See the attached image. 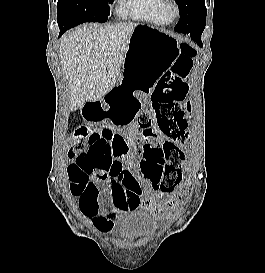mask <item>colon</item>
I'll list each match as a JSON object with an SVG mask.
<instances>
[{
  "label": "colon",
  "instance_id": "1",
  "mask_svg": "<svg viewBox=\"0 0 265 273\" xmlns=\"http://www.w3.org/2000/svg\"><path fill=\"white\" fill-rule=\"evenodd\" d=\"M195 56L196 50L193 47L187 44L181 46L172 66L155 86L152 110H142L137 119L143 130H151L155 124L166 138V141L156 145L155 154L159 159H166L167 163L156 170L151 182L159 198L167 197V207L175 203L174 190L182 179L185 152L181 146L187 136L188 113L191 111L190 105L184 101L188 91L187 77ZM118 136V133L108 129H75L73 147L69 151L73 162L67 167L74 196L82 192L92 196L98 193V186L90 180V176L109 168L110 142ZM143 142L141 138L139 144Z\"/></svg>",
  "mask_w": 265,
  "mask_h": 273
}]
</instances>
